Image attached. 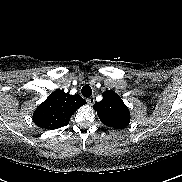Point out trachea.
Instances as JSON below:
<instances>
[{"label": "trachea", "instance_id": "trachea-1", "mask_svg": "<svg viewBox=\"0 0 182 182\" xmlns=\"http://www.w3.org/2000/svg\"><path fill=\"white\" fill-rule=\"evenodd\" d=\"M81 93L84 97H91L92 95V88L89 85H85L81 89Z\"/></svg>", "mask_w": 182, "mask_h": 182}]
</instances>
